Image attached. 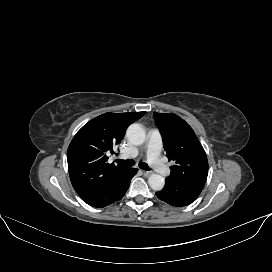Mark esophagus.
Listing matches in <instances>:
<instances>
[{"instance_id": "obj_1", "label": "esophagus", "mask_w": 272, "mask_h": 272, "mask_svg": "<svg viewBox=\"0 0 272 272\" xmlns=\"http://www.w3.org/2000/svg\"><path fill=\"white\" fill-rule=\"evenodd\" d=\"M142 172H143V174H144V175H146V176H149V175H151V174H152V172H151V171H144V170H143Z\"/></svg>"}]
</instances>
